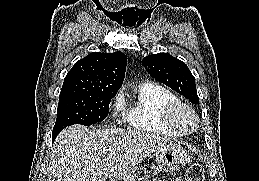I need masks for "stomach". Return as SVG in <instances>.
Listing matches in <instances>:
<instances>
[{"mask_svg":"<svg viewBox=\"0 0 259 181\" xmlns=\"http://www.w3.org/2000/svg\"><path fill=\"white\" fill-rule=\"evenodd\" d=\"M189 160L186 151L179 145L172 144L168 148L155 153V160L150 170L146 167L135 166L121 176L112 178L110 181H148L151 175L158 172H173L178 170Z\"/></svg>","mask_w":259,"mask_h":181,"instance_id":"1","label":"stomach"}]
</instances>
